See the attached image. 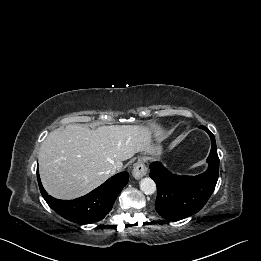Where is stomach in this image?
Segmentation results:
<instances>
[{"mask_svg":"<svg viewBox=\"0 0 261 261\" xmlns=\"http://www.w3.org/2000/svg\"><path fill=\"white\" fill-rule=\"evenodd\" d=\"M161 151H162L161 146L157 145V146H154V147H150V149L146 152H150V153H153L155 155H160Z\"/></svg>","mask_w":261,"mask_h":261,"instance_id":"0dacf381","label":"stomach"}]
</instances>
